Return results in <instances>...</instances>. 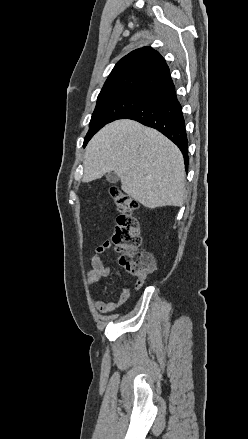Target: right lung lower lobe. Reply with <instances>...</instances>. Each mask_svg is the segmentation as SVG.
<instances>
[{"label": "right lung lower lobe", "mask_w": 248, "mask_h": 439, "mask_svg": "<svg viewBox=\"0 0 248 439\" xmlns=\"http://www.w3.org/2000/svg\"><path fill=\"white\" fill-rule=\"evenodd\" d=\"M120 119H132L157 129L181 150L185 169L188 168V140L181 105L177 99L175 87L149 97L146 101L127 112Z\"/></svg>", "instance_id": "right-lung-lower-lobe-1"}]
</instances>
